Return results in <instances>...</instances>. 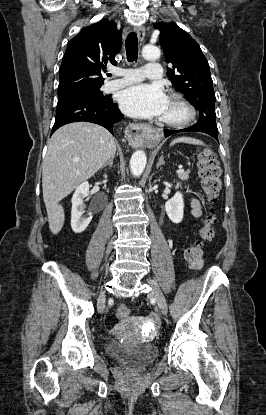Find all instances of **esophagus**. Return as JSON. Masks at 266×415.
<instances>
[{
  "mask_svg": "<svg viewBox=\"0 0 266 415\" xmlns=\"http://www.w3.org/2000/svg\"><path fill=\"white\" fill-rule=\"evenodd\" d=\"M139 42L142 43L145 38V28L144 26H139L136 28ZM147 129L146 125L139 123L129 124L126 128V137L129 143L133 146H140L145 142V130Z\"/></svg>",
  "mask_w": 266,
  "mask_h": 415,
  "instance_id": "obj_1",
  "label": "esophagus"
}]
</instances>
